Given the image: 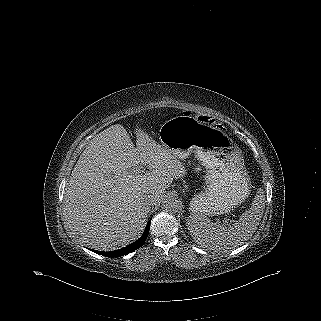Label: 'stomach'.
<instances>
[{"label":"stomach","mask_w":321,"mask_h":321,"mask_svg":"<svg viewBox=\"0 0 321 321\" xmlns=\"http://www.w3.org/2000/svg\"><path fill=\"white\" fill-rule=\"evenodd\" d=\"M160 145L177 159L194 153L206 168L204 192L196 195L190 210L196 215L229 212L248 193V179L241 152L220 130L201 123L192 116H176L159 130Z\"/></svg>","instance_id":"1"}]
</instances>
